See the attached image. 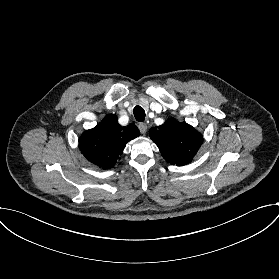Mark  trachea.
<instances>
[{"instance_id": "3493384b", "label": "trachea", "mask_w": 279, "mask_h": 279, "mask_svg": "<svg viewBox=\"0 0 279 279\" xmlns=\"http://www.w3.org/2000/svg\"><path fill=\"white\" fill-rule=\"evenodd\" d=\"M134 116L137 121L143 122L145 119V112L144 109L140 106H136L133 110Z\"/></svg>"}]
</instances>
